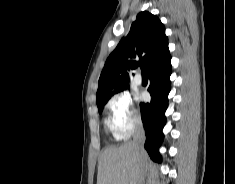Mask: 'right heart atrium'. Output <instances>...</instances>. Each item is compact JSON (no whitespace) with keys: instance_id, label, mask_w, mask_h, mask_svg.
I'll return each mask as SVG.
<instances>
[{"instance_id":"1","label":"right heart atrium","mask_w":235,"mask_h":184,"mask_svg":"<svg viewBox=\"0 0 235 184\" xmlns=\"http://www.w3.org/2000/svg\"><path fill=\"white\" fill-rule=\"evenodd\" d=\"M104 110L106 112L104 124L107 130L118 139L130 137L139 125L138 113L133 108L130 97L123 92L109 98L104 105Z\"/></svg>"}]
</instances>
